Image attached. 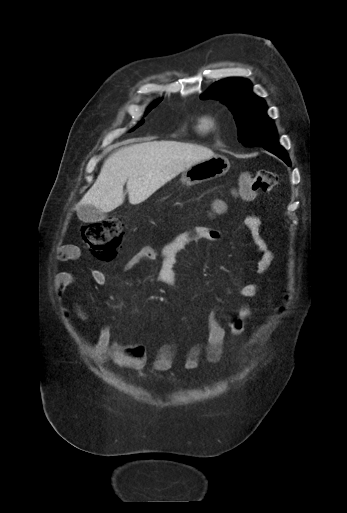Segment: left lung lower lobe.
I'll return each mask as SVG.
<instances>
[{"instance_id": "0a47b994", "label": "left lung lower lobe", "mask_w": 347, "mask_h": 513, "mask_svg": "<svg viewBox=\"0 0 347 513\" xmlns=\"http://www.w3.org/2000/svg\"><path fill=\"white\" fill-rule=\"evenodd\" d=\"M263 148H265L266 150L270 151L271 153H273L276 156H278L279 158H281L288 166H291L288 154L286 153L285 149L282 146L277 145L275 147H263Z\"/></svg>"}]
</instances>
